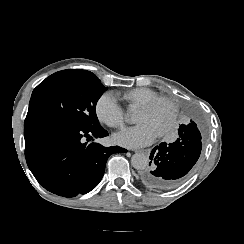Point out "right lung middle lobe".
<instances>
[{"mask_svg":"<svg viewBox=\"0 0 244 244\" xmlns=\"http://www.w3.org/2000/svg\"><path fill=\"white\" fill-rule=\"evenodd\" d=\"M106 89L90 71L56 72L34 89L27 116H46L85 129L100 126L95 108Z\"/></svg>","mask_w":244,"mask_h":244,"instance_id":"1","label":"right lung middle lobe"}]
</instances>
